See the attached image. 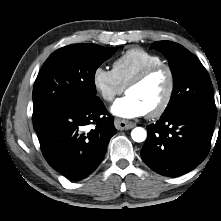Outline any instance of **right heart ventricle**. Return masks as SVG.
<instances>
[{
  "label": "right heart ventricle",
  "instance_id": "obj_1",
  "mask_svg": "<svg viewBox=\"0 0 221 221\" xmlns=\"http://www.w3.org/2000/svg\"><path fill=\"white\" fill-rule=\"evenodd\" d=\"M160 63H163L160 56L143 48L133 47L114 60L112 71L119 82L126 87L129 81L140 71L148 66Z\"/></svg>",
  "mask_w": 221,
  "mask_h": 221
}]
</instances>
